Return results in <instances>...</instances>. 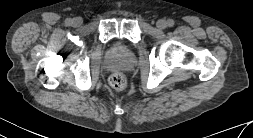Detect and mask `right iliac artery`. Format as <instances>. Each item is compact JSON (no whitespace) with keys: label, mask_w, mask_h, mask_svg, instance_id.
<instances>
[{"label":"right iliac artery","mask_w":253,"mask_h":138,"mask_svg":"<svg viewBox=\"0 0 253 138\" xmlns=\"http://www.w3.org/2000/svg\"><path fill=\"white\" fill-rule=\"evenodd\" d=\"M64 24H65L66 26H69V25L71 24V21H70L69 19H66V20L64 21Z\"/></svg>","instance_id":"obj_1"}]
</instances>
